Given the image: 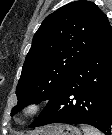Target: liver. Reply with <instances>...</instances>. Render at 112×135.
Here are the masks:
<instances>
[{
  "label": "liver",
  "instance_id": "obj_1",
  "mask_svg": "<svg viewBox=\"0 0 112 135\" xmlns=\"http://www.w3.org/2000/svg\"><path fill=\"white\" fill-rule=\"evenodd\" d=\"M43 133V130L39 131L37 134L41 135Z\"/></svg>",
  "mask_w": 112,
  "mask_h": 135
}]
</instances>
